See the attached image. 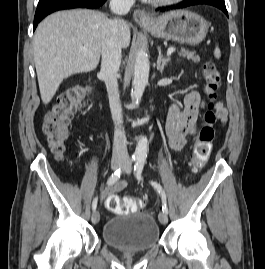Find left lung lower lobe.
<instances>
[{
	"label": "left lung lower lobe",
	"mask_w": 265,
	"mask_h": 269,
	"mask_svg": "<svg viewBox=\"0 0 265 269\" xmlns=\"http://www.w3.org/2000/svg\"><path fill=\"white\" fill-rule=\"evenodd\" d=\"M198 4L212 5L222 10L228 16L224 0H188L177 8H185L188 6H193V5H198ZM161 11H165V10H161Z\"/></svg>",
	"instance_id": "1"
}]
</instances>
